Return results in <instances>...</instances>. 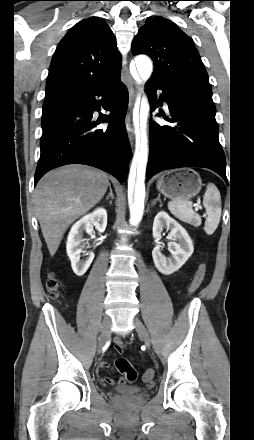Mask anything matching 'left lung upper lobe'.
<instances>
[{"label": "left lung upper lobe", "instance_id": "5c2ea615", "mask_svg": "<svg viewBox=\"0 0 254 440\" xmlns=\"http://www.w3.org/2000/svg\"><path fill=\"white\" fill-rule=\"evenodd\" d=\"M131 51L154 62L150 79L177 97H193L215 107L208 74L193 40L170 20L149 17L135 36Z\"/></svg>", "mask_w": 254, "mask_h": 440}]
</instances>
